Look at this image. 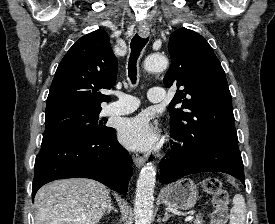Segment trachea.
<instances>
[{"instance_id":"obj_1","label":"trachea","mask_w":275,"mask_h":224,"mask_svg":"<svg viewBox=\"0 0 275 224\" xmlns=\"http://www.w3.org/2000/svg\"><path fill=\"white\" fill-rule=\"evenodd\" d=\"M148 42V38H142L138 34H135V36L131 40V55L129 58V64H128V73L130 80L134 84L137 80V59L140 55L141 50Z\"/></svg>"}]
</instances>
